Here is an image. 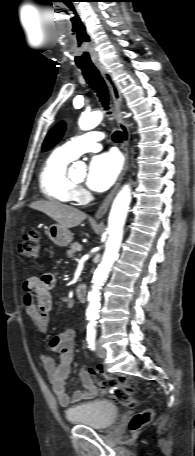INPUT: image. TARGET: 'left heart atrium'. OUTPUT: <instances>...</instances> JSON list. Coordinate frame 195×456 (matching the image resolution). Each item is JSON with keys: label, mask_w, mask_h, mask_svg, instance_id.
Here are the masks:
<instances>
[{"label": "left heart atrium", "mask_w": 195, "mask_h": 456, "mask_svg": "<svg viewBox=\"0 0 195 456\" xmlns=\"http://www.w3.org/2000/svg\"><path fill=\"white\" fill-rule=\"evenodd\" d=\"M121 167V159L116 153L94 156L88 166L87 186L95 191L107 190L118 177Z\"/></svg>", "instance_id": "39dd6f15"}]
</instances>
